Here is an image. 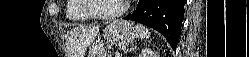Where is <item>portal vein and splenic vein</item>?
<instances>
[{"mask_svg":"<svg viewBox=\"0 0 249 57\" xmlns=\"http://www.w3.org/2000/svg\"><path fill=\"white\" fill-rule=\"evenodd\" d=\"M116 57H121V55H120V54H117Z\"/></svg>","mask_w":249,"mask_h":57,"instance_id":"portal-vein-and-splenic-vein-1","label":"portal vein and splenic vein"}]
</instances>
